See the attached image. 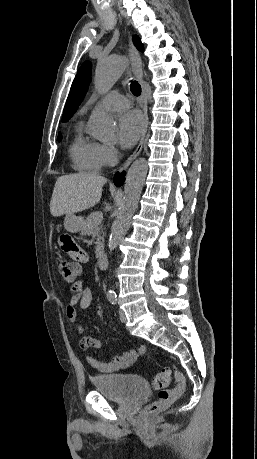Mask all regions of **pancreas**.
<instances>
[{
	"mask_svg": "<svg viewBox=\"0 0 257 459\" xmlns=\"http://www.w3.org/2000/svg\"><path fill=\"white\" fill-rule=\"evenodd\" d=\"M97 212L91 213L86 220L84 221L82 230H81V235L82 236H96V253L98 254L100 250L103 247V229L100 226L101 222H97L95 217H96Z\"/></svg>",
	"mask_w": 257,
	"mask_h": 459,
	"instance_id": "cf45deb5",
	"label": "pancreas"
}]
</instances>
